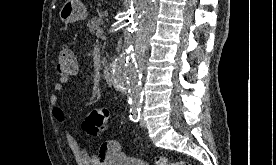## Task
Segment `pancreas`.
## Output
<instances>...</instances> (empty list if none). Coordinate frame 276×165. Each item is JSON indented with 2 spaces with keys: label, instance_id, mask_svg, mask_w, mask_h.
<instances>
[{
  "label": "pancreas",
  "instance_id": "cf45deb5",
  "mask_svg": "<svg viewBox=\"0 0 276 165\" xmlns=\"http://www.w3.org/2000/svg\"><path fill=\"white\" fill-rule=\"evenodd\" d=\"M103 25V19L101 16L93 17L91 20L88 21V28L90 32L94 33L95 30H98Z\"/></svg>",
  "mask_w": 276,
  "mask_h": 165
}]
</instances>
